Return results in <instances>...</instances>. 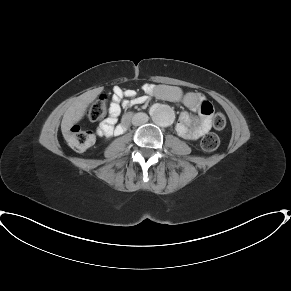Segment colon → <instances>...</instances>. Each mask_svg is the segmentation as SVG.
Masks as SVG:
<instances>
[{
	"mask_svg": "<svg viewBox=\"0 0 291 291\" xmlns=\"http://www.w3.org/2000/svg\"><path fill=\"white\" fill-rule=\"evenodd\" d=\"M107 98L104 94L97 98L89 107L88 117L92 121L102 120L107 113ZM211 112L210 106L205 110L206 114ZM213 125L217 129H223L226 125V118L222 113H217L213 117ZM94 133L78 125L72 127L67 133V141L71 148L76 151H83L88 148L94 141ZM220 140L215 134H208L201 140V148L206 152H212L219 147Z\"/></svg>",
	"mask_w": 291,
	"mask_h": 291,
	"instance_id": "colon-1",
	"label": "colon"
}]
</instances>
